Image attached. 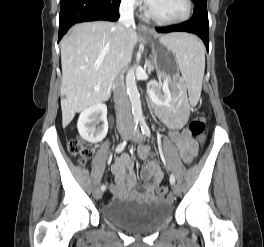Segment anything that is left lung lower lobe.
Instances as JSON below:
<instances>
[{"label": "left lung lower lobe", "instance_id": "left-lung-lower-lobe-1", "mask_svg": "<svg viewBox=\"0 0 264 247\" xmlns=\"http://www.w3.org/2000/svg\"><path fill=\"white\" fill-rule=\"evenodd\" d=\"M155 29L159 33L180 31L194 33L203 40L207 50L209 48V23L207 8L195 7L192 18L186 23Z\"/></svg>", "mask_w": 264, "mask_h": 247}]
</instances>
